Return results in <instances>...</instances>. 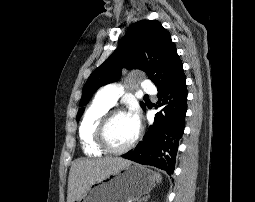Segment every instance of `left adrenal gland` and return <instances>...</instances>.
<instances>
[{
  "mask_svg": "<svg viewBox=\"0 0 255 202\" xmlns=\"http://www.w3.org/2000/svg\"><path fill=\"white\" fill-rule=\"evenodd\" d=\"M147 199H148V197H145V198H143L140 202H142V201H147Z\"/></svg>",
  "mask_w": 255,
  "mask_h": 202,
  "instance_id": "a2214340",
  "label": "left adrenal gland"
}]
</instances>
